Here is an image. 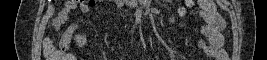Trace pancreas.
I'll list each match as a JSON object with an SVG mask.
<instances>
[{
	"label": "pancreas",
	"mask_w": 267,
	"mask_h": 60,
	"mask_svg": "<svg viewBox=\"0 0 267 60\" xmlns=\"http://www.w3.org/2000/svg\"><path fill=\"white\" fill-rule=\"evenodd\" d=\"M127 2L134 4L135 2H137V0H126Z\"/></svg>",
	"instance_id": "cf45deb5"
}]
</instances>
